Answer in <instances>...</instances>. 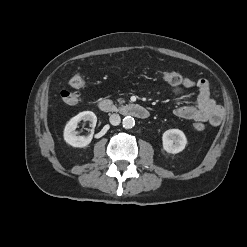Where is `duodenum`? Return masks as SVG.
<instances>
[{
	"instance_id": "duodenum-1",
	"label": "duodenum",
	"mask_w": 247,
	"mask_h": 247,
	"mask_svg": "<svg viewBox=\"0 0 247 247\" xmlns=\"http://www.w3.org/2000/svg\"><path fill=\"white\" fill-rule=\"evenodd\" d=\"M98 108L104 113L116 112L139 119H147L150 116L149 111L145 107L136 103H126L117 106L109 99H100L98 101Z\"/></svg>"
}]
</instances>
